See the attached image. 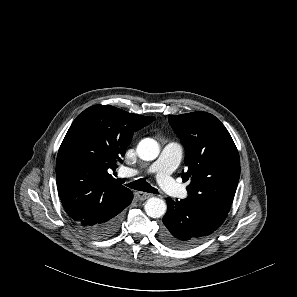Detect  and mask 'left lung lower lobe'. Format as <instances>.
Masks as SVG:
<instances>
[{"instance_id": "1", "label": "left lung lower lobe", "mask_w": 297, "mask_h": 297, "mask_svg": "<svg viewBox=\"0 0 297 297\" xmlns=\"http://www.w3.org/2000/svg\"><path fill=\"white\" fill-rule=\"evenodd\" d=\"M167 212L163 217L162 240L170 247L187 249L215 231L228 212L207 210L191 205L185 199H167Z\"/></svg>"}]
</instances>
